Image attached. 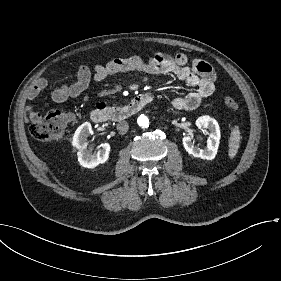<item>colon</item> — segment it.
Wrapping results in <instances>:
<instances>
[{
    "label": "colon",
    "mask_w": 281,
    "mask_h": 281,
    "mask_svg": "<svg viewBox=\"0 0 281 281\" xmlns=\"http://www.w3.org/2000/svg\"><path fill=\"white\" fill-rule=\"evenodd\" d=\"M223 104L227 108L238 106L237 101L231 96L224 97ZM66 125L67 120L61 112H50L31 123L30 133L41 142H55L63 137Z\"/></svg>",
    "instance_id": "obj_1"
}]
</instances>
